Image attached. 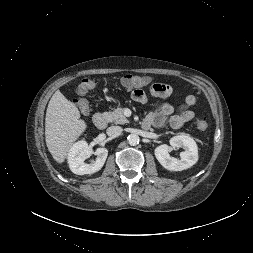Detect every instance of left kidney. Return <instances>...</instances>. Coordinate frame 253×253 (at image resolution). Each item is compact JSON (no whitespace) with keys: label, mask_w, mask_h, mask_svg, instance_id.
<instances>
[{"label":"left kidney","mask_w":253,"mask_h":253,"mask_svg":"<svg viewBox=\"0 0 253 253\" xmlns=\"http://www.w3.org/2000/svg\"><path fill=\"white\" fill-rule=\"evenodd\" d=\"M170 145L173 148H183L181 159L171 157L169 154L170 148L163 144L155 149V157L159 163L167 170L182 171L190 168L198 161V147L193 138L187 135H178L170 139Z\"/></svg>","instance_id":"5707ae66"}]
</instances>
